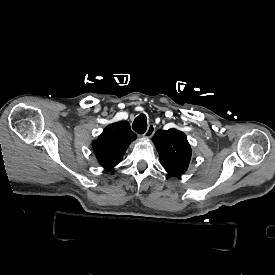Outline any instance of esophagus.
I'll list each match as a JSON object with an SVG mask.
<instances>
[{
  "label": "esophagus",
  "instance_id": "1",
  "mask_svg": "<svg viewBox=\"0 0 275 275\" xmlns=\"http://www.w3.org/2000/svg\"><path fill=\"white\" fill-rule=\"evenodd\" d=\"M155 133V125L154 124H150L148 126L147 131L145 132V134L143 135L146 138H151Z\"/></svg>",
  "mask_w": 275,
  "mask_h": 275
}]
</instances>
